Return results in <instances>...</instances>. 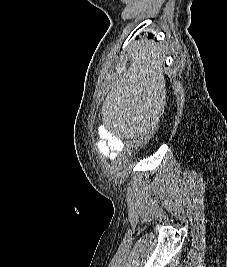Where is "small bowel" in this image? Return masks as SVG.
Segmentation results:
<instances>
[{"mask_svg": "<svg viewBox=\"0 0 227 267\" xmlns=\"http://www.w3.org/2000/svg\"><path fill=\"white\" fill-rule=\"evenodd\" d=\"M102 135L103 138L98 142L97 145L98 150L104 157L115 159L124 148L123 139L117 137L109 131H104Z\"/></svg>", "mask_w": 227, "mask_h": 267, "instance_id": "c3829d8e", "label": "small bowel"}]
</instances>
